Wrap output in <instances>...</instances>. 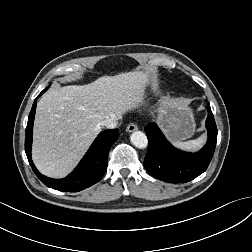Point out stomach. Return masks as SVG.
Listing matches in <instances>:
<instances>
[{
	"instance_id": "stomach-1",
	"label": "stomach",
	"mask_w": 252,
	"mask_h": 252,
	"mask_svg": "<svg viewBox=\"0 0 252 252\" xmlns=\"http://www.w3.org/2000/svg\"><path fill=\"white\" fill-rule=\"evenodd\" d=\"M157 121L173 141L185 140L195 130L193 113L182 100L163 101L158 110Z\"/></svg>"
}]
</instances>
